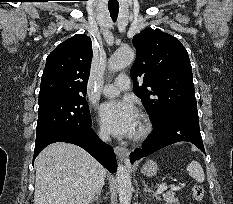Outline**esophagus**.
I'll list each match as a JSON object with an SVG mask.
<instances>
[{
    "instance_id": "34e87169",
    "label": "esophagus",
    "mask_w": 233,
    "mask_h": 204,
    "mask_svg": "<svg viewBox=\"0 0 233 204\" xmlns=\"http://www.w3.org/2000/svg\"><path fill=\"white\" fill-rule=\"evenodd\" d=\"M114 151L119 158H127L129 156V150L126 147L116 146Z\"/></svg>"
}]
</instances>
